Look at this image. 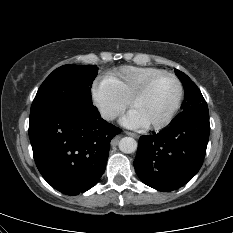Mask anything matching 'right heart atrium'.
I'll return each instance as SVG.
<instances>
[{
  "label": "right heart atrium",
  "instance_id": "obj_1",
  "mask_svg": "<svg viewBox=\"0 0 233 233\" xmlns=\"http://www.w3.org/2000/svg\"><path fill=\"white\" fill-rule=\"evenodd\" d=\"M91 95L104 119L111 121L123 114L126 102L113 93L103 81L93 84Z\"/></svg>",
  "mask_w": 233,
  "mask_h": 233
}]
</instances>
